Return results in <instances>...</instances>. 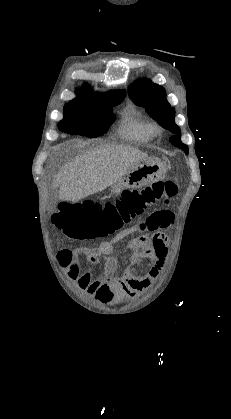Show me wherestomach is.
I'll use <instances>...</instances> for the list:
<instances>
[{
  "label": "stomach",
  "instance_id": "stomach-1",
  "mask_svg": "<svg viewBox=\"0 0 231 419\" xmlns=\"http://www.w3.org/2000/svg\"><path fill=\"white\" fill-rule=\"evenodd\" d=\"M166 171V164L160 159L142 158L112 186L111 192L118 194L125 189L141 188L149 183L160 181L166 176Z\"/></svg>",
  "mask_w": 231,
  "mask_h": 419
}]
</instances>
